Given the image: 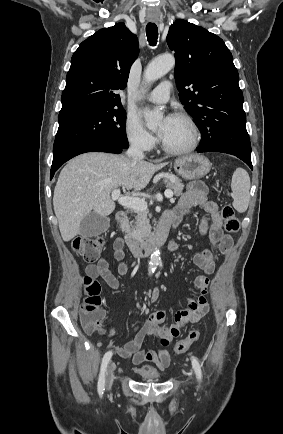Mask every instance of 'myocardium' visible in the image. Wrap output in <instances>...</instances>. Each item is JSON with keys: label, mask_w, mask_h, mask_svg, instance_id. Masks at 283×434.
Listing matches in <instances>:
<instances>
[{"label": "myocardium", "mask_w": 283, "mask_h": 434, "mask_svg": "<svg viewBox=\"0 0 283 434\" xmlns=\"http://www.w3.org/2000/svg\"><path fill=\"white\" fill-rule=\"evenodd\" d=\"M174 117L182 119L189 127L191 138L188 145L181 148H173L168 146L163 140L161 146L165 152L171 155H185L193 152L200 141V131L194 119L186 112H177Z\"/></svg>", "instance_id": "myocardium-1"}]
</instances>
